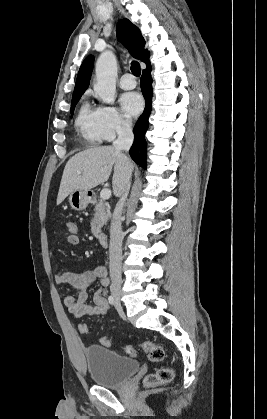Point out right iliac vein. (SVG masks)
Here are the masks:
<instances>
[{"label": "right iliac vein", "instance_id": "1", "mask_svg": "<svg viewBox=\"0 0 267 419\" xmlns=\"http://www.w3.org/2000/svg\"><path fill=\"white\" fill-rule=\"evenodd\" d=\"M112 295H113V297H114V299H115L116 304H117L118 306H120V305H121V302H120V298H121L120 292H118V291H113V292H112Z\"/></svg>", "mask_w": 267, "mask_h": 419}]
</instances>
